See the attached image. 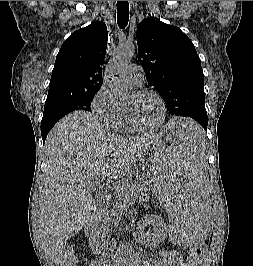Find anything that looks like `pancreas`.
I'll return each mask as SVG.
<instances>
[{
    "mask_svg": "<svg viewBox=\"0 0 253 266\" xmlns=\"http://www.w3.org/2000/svg\"><path fill=\"white\" fill-rule=\"evenodd\" d=\"M149 177L141 173L136 180L124 189L116 190L111 198L107 200L106 206L97 215L102 220L105 228H112V225L118 222L120 214L124 208L128 207L135 198L147 202L149 200L150 189ZM111 207V208H110Z\"/></svg>",
    "mask_w": 253,
    "mask_h": 266,
    "instance_id": "cf45deb5",
    "label": "pancreas"
}]
</instances>
